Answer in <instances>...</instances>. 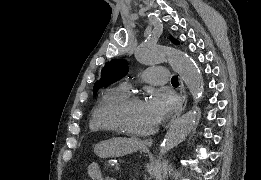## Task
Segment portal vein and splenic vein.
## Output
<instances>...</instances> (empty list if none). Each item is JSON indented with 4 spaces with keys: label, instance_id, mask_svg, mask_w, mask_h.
<instances>
[{
    "label": "portal vein and splenic vein",
    "instance_id": "18ae733b",
    "mask_svg": "<svg viewBox=\"0 0 261 180\" xmlns=\"http://www.w3.org/2000/svg\"><path fill=\"white\" fill-rule=\"evenodd\" d=\"M113 169H114V170H121V169H122V166H121V165H114V166H113Z\"/></svg>",
    "mask_w": 261,
    "mask_h": 180
}]
</instances>
